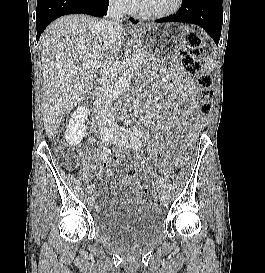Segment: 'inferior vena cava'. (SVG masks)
Segmentation results:
<instances>
[{"mask_svg": "<svg viewBox=\"0 0 265 273\" xmlns=\"http://www.w3.org/2000/svg\"><path fill=\"white\" fill-rule=\"evenodd\" d=\"M127 9V0H111L108 8V19L101 20L98 26L102 32L105 45H110L116 35L119 26V18ZM101 83L97 95L98 123L101 135L112 134L116 130V124L112 108L113 86L117 78V66L114 58L106 61L101 69Z\"/></svg>", "mask_w": 265, "mask_h": 273, "instance_id": "602c4592", "label": "inferior vena cava"}]
</instances>
